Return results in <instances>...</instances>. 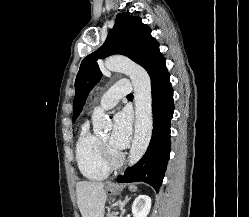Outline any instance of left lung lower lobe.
Listing matches in <instances>:
<instances>
[{
    "label": "left lung lower lobe",
    "instance_id": "obj_1",
    "mask_svg": "<svg viewBox=\"0 0 249 217\" xmlns=\"http://www.w3.org/2000/svg\"><path fill=\"white\" fill-rule=\"evenodd\" d=\"M152 87L153 131L149 147L142 159L128 168L120 183L143 181L157 192L162 184L170 155V121L173 116V89L165 59L150 75Z\"/></svg>",
    "mask_w": 249,
    "mask_h": 217
}]
</instances>
